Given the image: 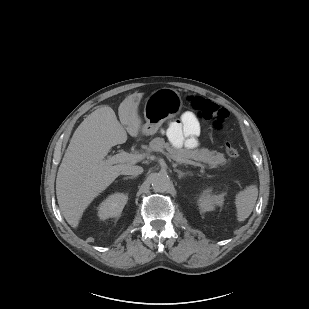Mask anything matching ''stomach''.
Masks as SVG:
<instances>
[{"instance_id":"stomach-1","label":"stomach","mask_w":309,"mask_h":309,"mask_svg":"<svg viewBox=\"0 0 309 309\" xmlns=\"http://www.w3.org/2000/svg\"><path fill=\"white\" fill-rule=\"evenodd\" d=\"M180 94L172 88H160L153 91L146 99L144 117L146 123L141 131L144 135H153L168 119L174 118L182 108Z\"/></svg>"}]
</instances>
